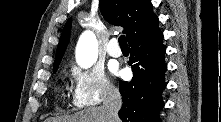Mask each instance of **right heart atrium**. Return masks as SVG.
Masks as SVG:
<instances>
[{
	"label": "right heart atrium",
	"instance_id": "d8ad5b80",
	"mask_svg": "<svg viewBox=\"0 0 221 122\" xmlns=\"http://www.w3.org/2000/svg\"><path fill=\"white\" fill-rule=\"evenodd\" d=\"M73 104L77 108L95 106L114 99L118 92L99 66L74 68Z\"/></svg>",
	"mask_w": 221,
	"mask_h": 122
}]
</instances>
